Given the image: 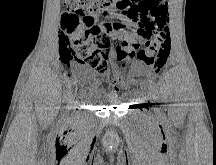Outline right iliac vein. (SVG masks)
<instances>
[{"label": "right iliac vein", "instance_id": "63e3f726", "mask_svg": "<svg viewBox=\"0 0 216 165\" xmlns=\"http://www.w3.org/2000/svg\"><path fill=\"white\" fill-rule=\"evenodd\" d=\"M72 107H73V104L71 103V104H69L68 106H66V109H67V110H70Z\"/></svg>", "mask_w": 216, "mask_h": 165}]
</instances>
